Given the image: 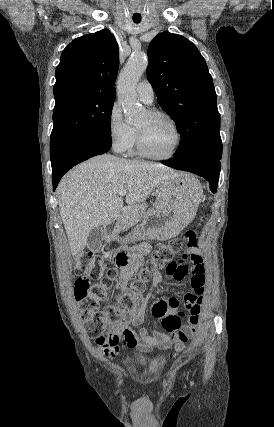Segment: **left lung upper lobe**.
<instances>
[{
  "instance_id": "1",
  "label": "left lung upper lobe",
  "mask_w": 274,
  "mask_h": 427,
  "mask_svg": "<svg viewBox=\"0 0 274 427\" xmlns=\"http://www.w3.org/2000/svg\"><path fill=\"white\" fill-rule=\"evenodd\" d=\"M147 78L181 142L176 156L221 142L216 92L205 59L185 37L163 32L148 47Z\"/></svg>"
}]
</instances>
